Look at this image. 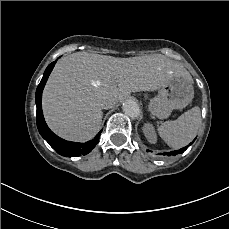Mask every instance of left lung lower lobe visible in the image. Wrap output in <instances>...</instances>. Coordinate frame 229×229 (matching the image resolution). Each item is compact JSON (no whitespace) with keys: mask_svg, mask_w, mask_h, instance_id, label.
Instances as JSON below:
<instances>
[{"mask_svg":"<svg viewBox=\"0 0 229 229\" xmlns=\"http://www.w3.org/2000/svg\"><path fill=\"white\" fill-rule=\"evenodd\" d=\"M194 140H195V139H194ZM194 140L190 143V145L193 144ZM188 146H189V145H188ZM188 146L183 147V148H181V149H179V150H176V151H172V152L166 153V154H167V155H178V154H181V153H183V152L188 148Z\"/></svg>","mask_w":229,"mask_h":229,"instance_id":"0a47b994","label":"left lung lower lobe"}]
</instances>
